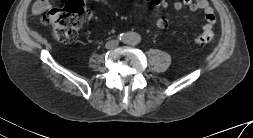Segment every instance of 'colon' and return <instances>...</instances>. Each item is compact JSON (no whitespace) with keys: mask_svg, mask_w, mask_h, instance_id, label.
Returning a JSON list of instances; mask_svg holds the SVG:
<instances>
[{"mask_svg":"<svg viewBox=\"0 0 253 138\" xmlns=\"http://www.w3.org/2000/svg\"><path fill=\"white\" fill-rule=\"evenodd\" d=\"M91 10L82 0H71L63 7L54 8L42 15L43 23L51 25L55 39L61 43L72 41L77 31L88 21ZM214 34L210 29L204 30L195 38L198 45L211 43Z\"/></svg>","mask_w":253,"mask_h":138,"instance_id":"1","label":"colon"}]
</instances>
